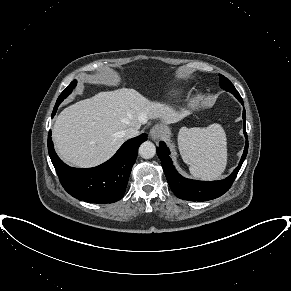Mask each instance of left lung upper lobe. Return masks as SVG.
I'll return each mask as SVG.
<instances>
[{
  "instance_id": "1",
  "label": "left lung upper lobe",
  "mask_w": 291,
  "mask_h": 291,
  "mask_svg": "<svg viewBox=\"0 0 291 291\" xmlns=\"http://www.w3.org/2000/svg\"><path fill=\"white\" fill-rule=\"evenodd\" d=\"M219 84L222 89L231 92L235 97L239 95L238 91L235 89L233 84L221 74H219Z\"/></svg>"
}]
</instances>
